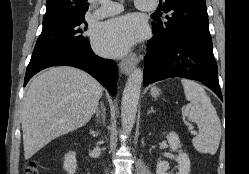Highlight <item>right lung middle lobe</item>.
<instances>
[{"instance_id": "dd1d6c3e", "label": "right lung middle lobe", "mask_w": 249, "mask_h": 174, "mask_svg": "<svg viewBox=\"0 0 249 174\" xmlns=\"http://www.w3.org/2000/svg\"><path fill=\"white\" fill-rule=\"evenodd\" d=\"M86 26L85 17L43 26L33 52L53 47L89 45V40L83 35Z\"/></svg>"}]
</instances>
